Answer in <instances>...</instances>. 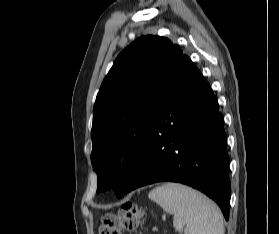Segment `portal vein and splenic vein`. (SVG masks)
<instances>
[{
	"instance_id": "18ae733b",
	"label": "portal vein and splenic vein",
	"mask_w": 279,
	"mask_h": 234,
	"mask_svg": "<svg viewBox=\"0 0 279 234\" xmlns=\"http://www.w3.org/2000/svg\"><path fill=\"white\" fill-rule=\"evenodd\" d=\"M153 230H157V228H156V227H153Z\"/></svg>"
}]
</instances>
